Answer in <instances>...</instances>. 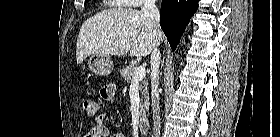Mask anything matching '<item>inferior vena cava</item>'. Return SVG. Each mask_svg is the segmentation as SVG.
Here are the masks:
<instances>
[{"label": "inferior vena cava", "mask_w": 280, "mask_h": 137, "mask_svg": "<svg viewBox=\"0 0 280 137\" xmlns=\"http://www.w3.org/2000/svg\"><path fill=\"white\" fill-rule=\"evenodd\" d=\"M155 0H146L141 12L146 16L150 22L154 34L159 35L160 31V14L155 4ZM159 44L157 43L151 52V100H152V111H153V135L152 137L160 136L161 118H160V102H159V68H160V50L158 49Z\"/></svg>", "instance_id": "602c4592"}]
</instances>
